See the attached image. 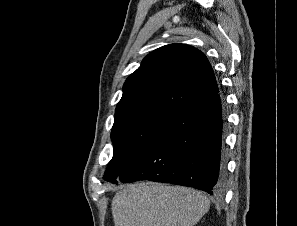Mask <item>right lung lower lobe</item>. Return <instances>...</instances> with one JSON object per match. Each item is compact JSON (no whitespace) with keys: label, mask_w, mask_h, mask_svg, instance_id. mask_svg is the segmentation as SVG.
<instances>
[{"label":"right lung lower lobe","mask_w":297,"mask_h":226,"mask_svg":"<svg viewBox=\"0 0 297 226\" xmlns=\"http://www.w3.org/2000/svg\"><path fill=\"white\" fill-rule=\"evenodd\" d=\"M225 126L219 93L182 107L114 183L150 180L217 194L225 173L221 160Z\"/></svg>","instance_id":"obj_1"}]
</instances>
